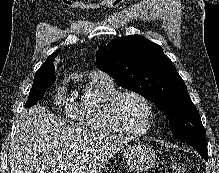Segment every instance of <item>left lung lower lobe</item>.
I'll list each match as a JSON object with an SVG mask.
<instances>
[{
	"label": "left lung lower lobe",
	"instance_id": "1",
	"mask_svg": "<svg viewBox=\"0 0 219 173\" xmlns=\"http://www.w3.org/2000/svg\"><path fill=\"white\" fill-rule=\"evenodd\" d=\"M194 148L201 154V156H202L205 160H208L207 149L199 148V147H194Z\"/></svg>",
	"mask_w": 219,
	"mask_h": 173
}]
</instances>
